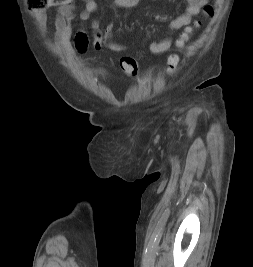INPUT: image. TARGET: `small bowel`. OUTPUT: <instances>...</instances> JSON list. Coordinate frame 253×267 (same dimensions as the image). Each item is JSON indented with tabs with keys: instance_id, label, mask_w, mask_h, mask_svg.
Instances as JSON below:
<instances>
[{
	"instance_id": "small-bowel-1",
	"label": "small bowel",
	"mask_w": 253,
	"mask_h": 267,
	"mask_svg": "<svg viewBox=\"0 0 253 267\" xmlns=\"http://www.w3.org/2000/svg\"><path fill=\"white\" fill-rule=\"evenodd\" d=\"M84 9L79 13L78 17L81 22L87 21L91 15L98 9L96 0H82ZM111 4L118 8L134 9L139 5L140 0H110ZM186 7L185 11L170 20L167 23L168 30H177L182 27L191 25L194 19L201 13L202 9L207 5L208 0H184ZM77 17L76 0H68V2L59 7L54 24H55V39L57 46L63 52L74 55L76 52H85L89 46V38L85 30L80 28L74 35L72 31V23ZM37 21L41 27H44L47 22V16L44 12L37 14ZM105 32L112 35V27L108 26ZM172 46V39L166 37L162 40L153 41L149 48L153 54H162L167 52ZM108 49L114 52H125L130 49L129 46L119 44L114 40L109 44Z\"/></svg>"
}]
</instances>
